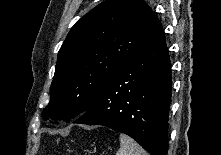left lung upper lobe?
Segmentation results:
<instances>
[{"label": "left lung upper lobe", "instance_id": "5c2ea615", "mask_svg": "<svg viewBox=\"0 0 221 155\" xmlns=\"http://www.w3.org/2000/svg\"><path fill=\"white\" fill-rule=\"evenodd\" d=\"M158 22L143 0H106L77 21L59 50L43 119L83 114Z\"/></svg>", "mask_w": 221, "mask_h": 155}]
</instances>
